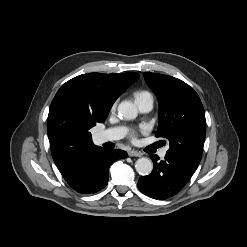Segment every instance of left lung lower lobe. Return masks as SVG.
Wrapping results in <instances>:
<instances>
[{
    "label": "left lung lower lobe",
    "instance_id": "left-lung-lower-lobe-1",
    "mask_svg": "<svg viewBox=\"0 0 247 247\" xmlns=\"http://www.w3.org/2000/svg\"><path fill=\"white\" fill-rule=\"evenodd\" d=\"M153 171L140 177L138 187L142 193L154 199H166L179 192L194 174L197 167L188 161L166 154L164 161L151 155Z\"/></svg>",
    "mask_w": 247,
    "mask_h": 247
}]
</instances>
